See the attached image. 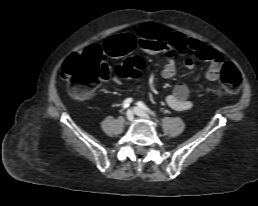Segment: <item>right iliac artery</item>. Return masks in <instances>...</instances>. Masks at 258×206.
I'll return each mask as SVG.
<instances>
[{"label":"right iliac artery","mask_w":258,"mask_h":206,"mask_svg":"<svg viewBox=\"0 0 258 206\" xmlns=\"http://www.w3.org/2000/svg\"><path fill=\"white\" fill-rule=\"evenodd\" d=\"M132 98H127L126 100H124L122 107L125 109L127 108L131 103H132Z\"/></svg>","instance_id":"obj_1"}]
</instances>
